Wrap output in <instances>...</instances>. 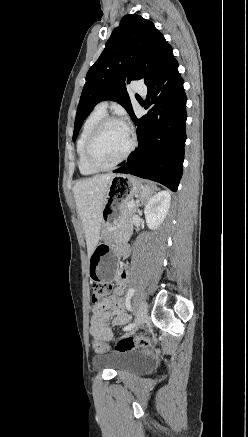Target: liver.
Returning <instances> with one entry per match:
<instances>
[{
  "instance_id": "liver-1",
  "label": "liver",
  "mask_w": 248,
  "mask_h": 437,
  "mask_svg": "<svg viewBox=\"0 0 248 437\" xmlns=\"http://www.w3.org/2000/svg\"><path fill=\"white\" fill-rule=\"evenodd\" d=\"M115 176V174H102L80 180L74 185V199L85 232L88 257L98 245L101 214L110 181Z\"/></svg>"
}]
</instances>
